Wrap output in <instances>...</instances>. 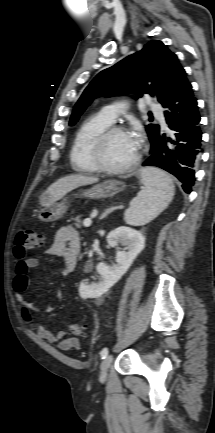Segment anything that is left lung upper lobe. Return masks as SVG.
I'll return each instance as SVG.
<instances>
[{"label":"left lung upper lobe","mask_w":215,"mask_h":433,"mask_svg":"<svg viewBox=\"0 0 215 433\" xmlns=\"http://www.w3.org/2000/svg\"><path fill=\"white\" fill-rule=\"evenodd\" d=\"M186 78L177 56L161 41L153 40L114 66L101 71L87 86L76 103L70 125H74L93 99L105 95L134 93L156 95L163 104L173 90ZM135 97V98H137ZM146 131L150 142L160 131L158 125L149 124Z\"/></svg>","instance_id":"left-lung-upper-lobe-1"}]
</instances>
